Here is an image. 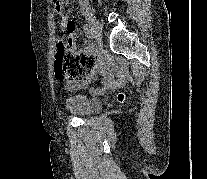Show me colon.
Instances as JSON below:
<instances>
[{"label": "colon", "mask_w": 207, "mask_h": 179, "mask_svg": "<svg viewBox=\"0 0 207 179\" xmlns=\"http://www.w3.org/2000/svg\"><path fill=\"white\" fill-rule=\"evenodd\" d=\"M56 13L66 18L70 11L71 5L69 0H55ZM92 72L90 57L82 53H74L70 40L61 37L57 41V51L55 59V74L58 80L77 84L88 77ZM119 100L124 99L119 95Z\"/></svg>", "instance_id": "5ec220e1"}]
</instances>
